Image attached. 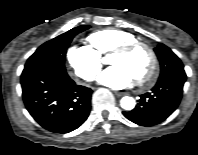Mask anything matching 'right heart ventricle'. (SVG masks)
<instances>
[{"instance_id":"e07e8e85","label":"right heart ventricle","mask_w":198,"mask_h":155,"mask_svg":"<svg viewBox=\"0 0 198 155\" xmlns=\"http://www.w3.org/2000/svg\"><path fill=\"white\" fill-rule=\"evenodd\" d=\"M134 40L136 37L133 34L116 28L98 30L89 36L93 48L100 55H107L118 46Z\"/></svg>"}]
</instances>
